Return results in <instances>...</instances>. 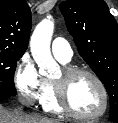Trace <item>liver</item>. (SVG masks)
I'll return each instance as SVG.
<instances>
[{"label": "liver", "mask_w": 118, "mask_h": 123, "mask_svg": "<svg viewBox=\"0 0 118 123\" xmlns=\"http://www.w3.org/2000/svg\"><path fill=\"white\" fill-rule=\"evenodd\" d=\"M0 123H61V121L27 115L19 110H7L0 104Z\"/></svg>", "instance_id": "1"}]
</instances>
